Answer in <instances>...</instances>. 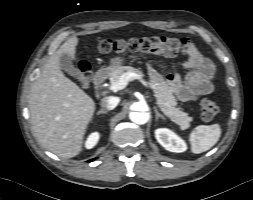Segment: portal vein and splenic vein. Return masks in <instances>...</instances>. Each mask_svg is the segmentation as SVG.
<instances>
[{
  "instance_id": "18ae733b",
  "label": "portal vein and splenic vein",
  "mask_w": 253,
  "mask_h": 200,
  "mask_svg": "<svg viewBox=\"0 0 253 200\" xmlns=\"http://www.w3.org/2000/svg\"><path fill=\"white\" fill-rule=\"evenodd\" d=\"M133 79H138L145 87L149 88L148 83L142 78L141 75L133 73V72H127V73H124L118 81L111 83V85L109 86V89L114 92L118 90H122Z\"/></svg>"
}]
</instances>
